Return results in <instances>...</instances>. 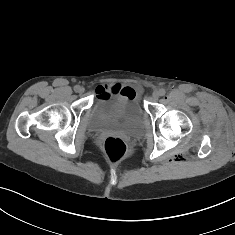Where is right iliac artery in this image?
Wrapping results in <instances>:
<instances>
[{
	"label": "right iliac artery",
	"mask_w": 235,
	"mask_h": 235,
	"mask_svg": "<svg viewBox=\"0 0 235 235\" xmlns=\"http://www.w3.org/2000/svg\"><path fill=\"white\" fill-rule=\"evenodd\" d=\"M79 87H80L79 85H76V86L74 87L75 92L78 91Z\"/></svg>",
	"instance_id": "right-iliac-artery-1"
}]
</instances>
